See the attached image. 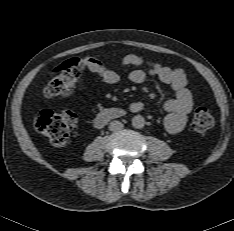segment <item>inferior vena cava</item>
<instances>
[{
  "label": "inferior vena cava",
  "mask_w": 234,
  "mask_h": 231,
  "mask_svg": "<svg viewBox=\"0 0 234 231\" xmlns=\"http://www.w3.org/2000/svg\"><path fill=\"white\" fill-rule=\"evenodd\" d=\"M123 126L124 125L122 122L115 120V121L110 122L109 129L111 131H119L123 128Z\"/></svg>",
  "instance_id": "inferior-vena-cava-1"
}]
</instances>
